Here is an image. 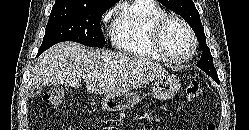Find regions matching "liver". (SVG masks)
Segmentation results:
<instances>
[{
  "instance_id": "1",
  "label": "liver",
  "mask_w": 249,
  "mask_h": 130,
  "mask_svg": "<svg viewBox=\"0 0 249 130\" xmlns=\"http://www.w3.org/2000/svg\"><path fill=\"white\" fill-rule=\"evenodd\" d=\"M166 75L165 68L145 57L85 49L75 42H62L38 57L29 83L78 88L84 80L88 92L107 95L129 92Z\"/></svg>"
}]
</instances>
